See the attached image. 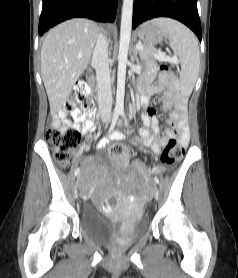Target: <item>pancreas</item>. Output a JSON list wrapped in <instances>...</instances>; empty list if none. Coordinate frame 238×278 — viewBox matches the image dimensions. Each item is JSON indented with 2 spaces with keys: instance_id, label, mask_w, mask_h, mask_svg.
Returning a JSON list of instances; mask_svg holds the SVG:
<instances>
[{
  "instance_id": "1",
  "label": "pancreas",
  "mask_w": 238,
  "mask_h": 278,
  "mask_svg": "<svg viewBox=\"0 0 238 278\" xmlns=\"http://www.w3.org/2000/svg\"><path fill=\"white\" fill-rule=\"evenodd\" d=\"M143 50L139 52L140 56L142 59L147 60V59H156L155 55L159 53L157 49H155L153 46H149L146 44H143Z\"/></svg>"
}]
</instances>
